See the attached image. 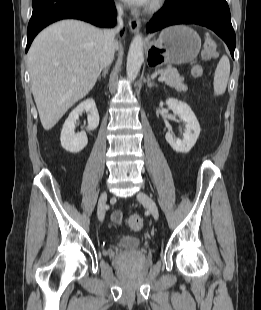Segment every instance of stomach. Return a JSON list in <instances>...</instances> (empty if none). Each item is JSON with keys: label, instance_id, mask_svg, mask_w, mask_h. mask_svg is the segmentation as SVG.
<instances>
[{"label": "stomach", "instance_id": "0dacf381", "mask_svg": "<svg viewBox=\"0 0 261 310\" xmlns=\"http://www.w3.org/2000/svg\"><path fill=\"white\" fill-rule=\"evenodd\" d=\"M201 48L199 35L188 26L175 25L164 29L158 40L148 44L149 64H183L193 61Z\"/></svg>", "mask_w": 261, "mask_h": 310}]
</instances>
